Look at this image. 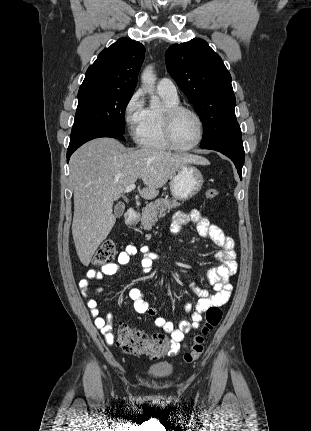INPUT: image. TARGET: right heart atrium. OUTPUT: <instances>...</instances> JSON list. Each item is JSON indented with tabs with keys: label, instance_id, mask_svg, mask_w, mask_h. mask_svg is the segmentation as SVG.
Masks as SVG:
<instances>
[{
	"label": "right heart atrium",
	"instance_id": "1",
	"mask_svg": "<svg viewBox=\"0 0 311 431\" xmlns=\"http://www.w3.org/2000/svg\"><path fill=\"white\" fill-rule=\"evenodd\" d=\"M146 108L142 91H134L123 107V119L125 127L132 139L138 141V132L144 120Z\"/></svg>",
	"mask_w": 311,
	"mask_h": 431
}]
</instances>
